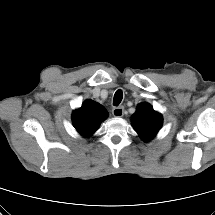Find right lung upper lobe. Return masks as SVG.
<instances>
[{
	"mask_svg": "<svg viewBox=\"0 0 215 215\" xmlns=\"http://www.w3.org/2000/svg\"><path fill=\"white\" fill-rule=\"evenodd\" d=\"M108 113L99 103L87 100L81 108L74 111L72 120L75 129L82 136H91L97 131L101 121L106 119Z\"/></svg>",
	"mask_w": 215,
	"mask_h": 215,
	"instance_id": "obj_1",
	"label": "right lung upper lobe"
}]
</instances>
